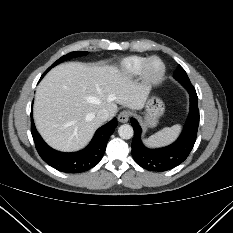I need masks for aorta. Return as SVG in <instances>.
I'll return each instance as SVG.
<instances>
[{
  "label": "aorta",
  "mask_w": 233,
  "mask_h": 233,
  "mask_svg": "<svg viewBox=\"0 0 233 233\" xmlns=\"http://www.w3.org/2000/svg\"><path fill=\"white\" fill-rule=\"evenodd\" d=\"M133 128L129 124H123L118 129V134L122 139H130L133 136Z\"/></svg>",
  "instance_id": "obj_1"
}]
</instances>
